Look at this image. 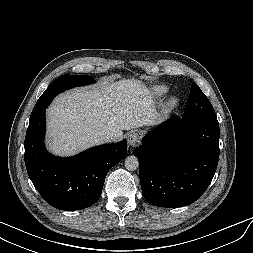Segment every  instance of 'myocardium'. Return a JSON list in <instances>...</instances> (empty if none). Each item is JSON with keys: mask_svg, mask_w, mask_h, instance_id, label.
<instances>
[{"mask_svg": "<svg viewBox=\"0 0 253 253\" xmlns=\"http://www.w3.org/2000/svg\"><path fill=\"white\" fill-rule=\"evenodd\" d=\"M178 105V98L176 97H171L165 105V108L170 110V109H174L176 106Z\"/></svg>", "mask_w": 253, "mask_h": 253, "instance_id": "obj_1", "label": "myocardium"}]
</instances>
